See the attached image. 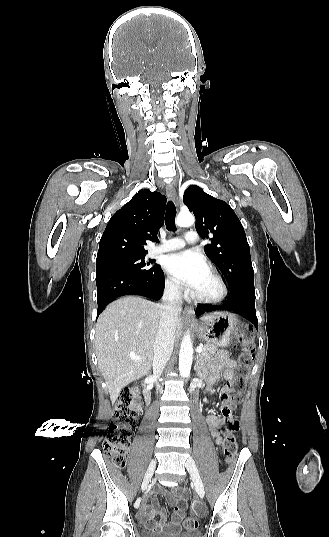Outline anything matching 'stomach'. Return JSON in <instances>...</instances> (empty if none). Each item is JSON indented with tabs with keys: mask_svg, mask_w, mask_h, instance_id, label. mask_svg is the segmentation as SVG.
<instances>
[{
	"mask_svg": "<svg viewBox=\"0 0 329 537\" xmlns=\"http://www.w3.org/2000/svg\"><path fill=\"white\" fill-rule=\"evenodd\" d=\"M210 317L211 319L198 329L199 336L204 341L224 347L230 343L233 336L241 334V325L235 315L223 312Z\"/></svg>",
	"mask_w": 329,
	"mask_h": 537,
	"instance_id": "stomach-1",
	"label": "stomach"
}]
</instances>
